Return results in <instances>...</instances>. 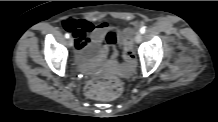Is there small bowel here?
Masks as SVG:
<instances>
[{
	"label": "small bowel",
	"instance_id": "obj_1",
	"mask_svg": "<svg viewBox=\"0 0 218 122\" xmlns=\"http://www.w3.org/2000/svg\"><path fill=\"white\" fill-rule=\"evenodd\" d=\"M63 26L66 30L73 34L75 46L80 57H83L82 52L86 51L87 56L92 59H94L95 55L101 50V45L104 44L102 41L103 30L109 28L106 22L94 25L89 21L74 17L64 20ZM117 30L120 34V39L118 41L119 47L123 44V36L121 31L119 29Z\"/></svg>",
	"mask_w": 218,
	"mask_h": 122
}]
</instances>
